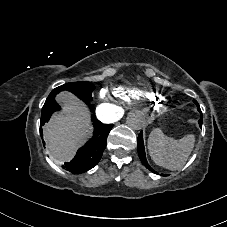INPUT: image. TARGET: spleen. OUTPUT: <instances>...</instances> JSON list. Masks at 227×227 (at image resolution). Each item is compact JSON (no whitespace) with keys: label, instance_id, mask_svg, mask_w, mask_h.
I'll list each match as a JSON object with an SVG mask.
<instances>
[{"label":"spleen","instance_id":"3e777b00","mask_svg":"<svg viewBox=\"0 0 227 227\" xmlns=\"http://www.w3.org/2000/svg\"><path fill=\"white\" fill-rule=\"evenodd\" d=\"M194 142L195 136L193 134L176 139L165 134L163 129L155 128L148 139V151L158 166L169 170H178L187 161L194 147Z\"/></svg>","mask_w":227,"mask_h":227}]
</instances>
